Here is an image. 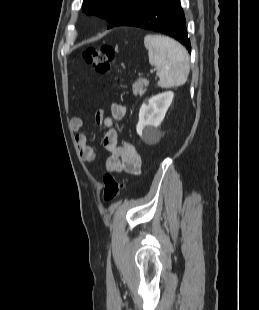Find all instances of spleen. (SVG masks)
<instances>
[{
  "instance_id": "3e777b00",
  "label": "spleen",
  "mask_w": 259,
  "mask_h": 310,
  "mask_svg": "<svg viewBox=\"0 0 259 310\" xmlns=\"http://www.w3.org/2000/svg\"><path fill=\"white\" fill-rule=\"evenodd\" d=\"M149 63L158 69V86L171 88L183 85L190 72L189 55L177 41L156 34L144 37Z\"/></svg>"
}]
</instances>
